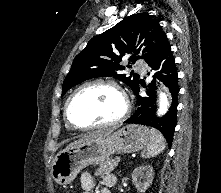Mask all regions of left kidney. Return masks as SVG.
<instances>
[{
  "label": "left kidney",
  "mask_w": 221,
  "mask_h": 193,
  "mask_svg": "<svg viewBox=\"0 0 221 193\" xmlns=\"http://www.w3.org/2000/svg\"><path fill=\"white\" fill-rule=\"evenodd\" d=\"M153 168L150 165H141L134 169L132 182L140 193H145L153 181Z\"/></svg>",
  "instance_id": "left-kidney-1"
}]
</instances>
